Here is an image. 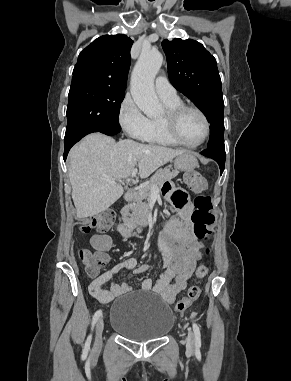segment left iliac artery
Segmentation results:
<instances>
[{"instance_id": "1", "label": "left iliac artery", "mask_w": 291, "mask_h": 381, "mask_svg": "<svg viewBox=\"0 0 291 381\" xmlns=\"http://www.w3.org/2000/svg\"><path fill=\"white\" fill-rule=\"evenodd\" d=\"M193 331L195 335V346L199 348L201 347V333L198 325L195 322L193 323Z\"/></svg>"}]
</instances>
